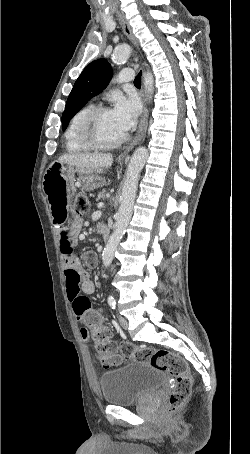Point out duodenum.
<instances>
[{
    "mask_svg": "<svg viewBox=\"0 0 250 454\" xmlns=\"http://www.w3.org/2000/svg\"><path fill=\"white\" fill-rule=\"evenodd\" d=\"M100 233L105 241H107L109 239V237H110L109 229H107L106 227H101Z\"/></svg>",
    "mask_w": 250,
    "mask_h": 454,
    "instance_id": "1",
    "label": "duodenum"
}]
</instances>
